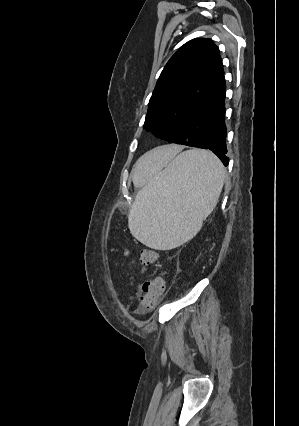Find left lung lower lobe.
Returning <instances> with one entry per match:
<instances>
[{"instance_id":"obj_1","label":"left lung lower lobe","mask_w":299,"mask_h":426,"mask_svg":"<svg viewBox=\"0 0 299 426\" xmlns=\"http://www.w3.org/2000/svg\"><path fill=\"white\" fill-rule=\"evenodd\" d=\"M224 84L189 117L172 143L210 149L226 166L228 164L225 127Z\"/></svg>"}]
</instances>
